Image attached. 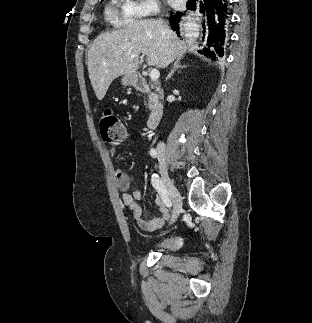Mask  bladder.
<instances>
[{"label": "bladder", "mask_w": 312, "mask_h": 323, "mask_svg": "<svg viewBox=\"0 0 312 323\" xmlns=\"http://www.w3.org/2000/svg\"><path fill=\"white\" fill-rule=\"evenodd\" d=\"M162 244L163 249L167 251H173L176 249V245L174 242L170 240V238H164L159 241Z\"/></svg>", "instance_id": "bladder-1"}]
</instances>
